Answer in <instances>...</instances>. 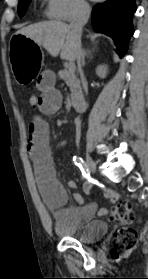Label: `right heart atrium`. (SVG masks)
Returning a JSON list of instances; mask_svg holds the SVG:
<instances>
[{"instance_id":"obj_1","label":"right heart atrium","mask_w":148,"mask_h":279,"mask_svg":"<svg viewBox=\"0 0 148 279\" xmlns=\"http://www.w3.org/2000/svg\"><path fill=\"white\" fill-rule=\"evenodd\" d=\"M88 10L85 0H47V16L60 21L83 17Z\"/></svg>"}]
</instances>
